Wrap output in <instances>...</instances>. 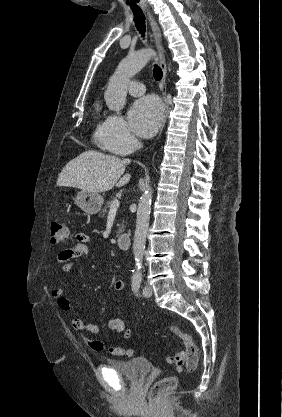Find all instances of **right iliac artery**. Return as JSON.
I'll return each instance as SVG.
<instances>
[{"label":"right iliac artery","instance_id":"obj_1","mask_svg":"<svg viewBox=\"0 0 282 417\" xmlns=\"http://www.w3.org/2000/svg\"><path fill=\"white\" fill-rule=\"evenodd\" d=\"M141 280L139 278H134L132 281V290L137 292L140 287Z\"/></svg>","mask_w":282,"mask_h":417}]
</instances>
